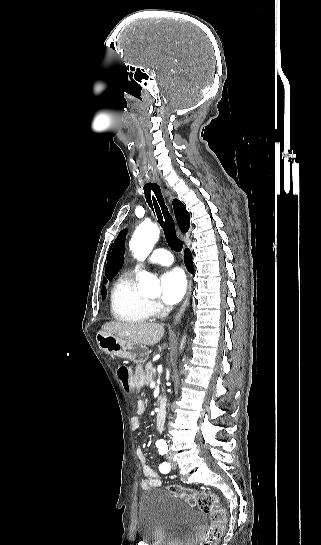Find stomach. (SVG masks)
<instances>
[{
  "instance_id": "stomach-1",
  "label": "stomach",
  "mask_w": 321,
  "mask_h": 545,
  "mask_svg": "<svg viewBox=\"0 0 321 545\" xmlns=\"http://www.w3.org/2000/svg\"><path fill=\"white\" fill-rule=\"evenodd\" d=\"M96 341L99 349L107 355H113V357H120V359H127V361H133V363H146L148 361L149 353L142 345L137 343H129V341H123L118 339L115 335H105V333H97Z\"/></svg>"
}]
</instances>
